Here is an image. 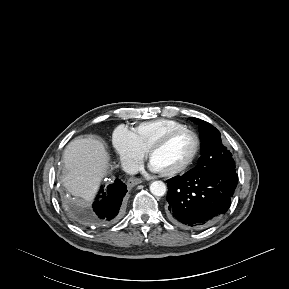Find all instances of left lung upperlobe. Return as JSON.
I'll return each instance as SVG.
<instances>
[{
	"mask_svg": "<svg viewBox=\"0 0 289 289\" xmlns=\"http://www.w3.org/2000/svg\"><path fill=\"white\" fill-rule=\"evenodd\" d=\"M191 121L199 125L201 139V157L194 170L212 168L217 165L227 164L235 168L232 154L221 143L220 132L210 123L198 118H190Z\"/></svg>",
	"mask_w": 289,
	"mask_h": 289,
	"instance_id": "left-lung-upper-lobe-1",
	"label": "left lung upper lobe"
}]
</instances>
